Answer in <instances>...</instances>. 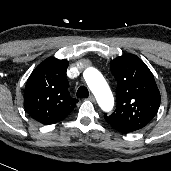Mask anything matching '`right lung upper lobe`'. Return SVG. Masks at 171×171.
<instances>
[{
  "instance_id": "1",
  "label": "right lung upper lobe",
  "mask_w": 171,
  "mask_h": 171,
  "mask_svg": "<svg viewBox=\"0 0 171 171\" xmlns=\"http://www.w3.org/2000/svg\"><path fill=\"white\" fill-rule=\"evenodd\" d=\"M67 60L48 58L32 72L24 93V107L37 122L50 125L69 115L77 99L68 92Z\"/></svg>"
}]
</instances>
